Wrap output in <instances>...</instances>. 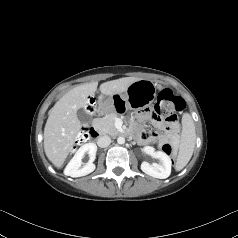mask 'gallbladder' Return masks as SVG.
<instances>
[{"label": "gallbladder", "instance_id": "1", "mask_svg": "<svg viewBox=\"0 0 238 238\" xmlns=\"http://www.w3.org/2000/svg\"><path fill=\"white\" fill-rule=\"evenodd\" d=\"M77 117L81 123H88L91 120V116L84 109L77 111Z\"/></svg>", "mask_w": 238, "mask_h": 238}]
</instances>
